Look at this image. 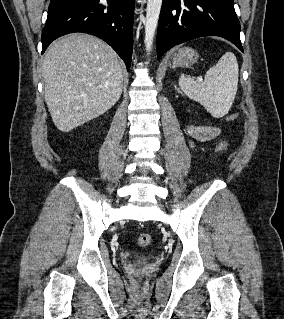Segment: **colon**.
<instances>
[{
	"instance_id": "obj_1",
	"label": "colon",
	"mask_w": 284,
	"mask_h": 319,
	"mask_svg": "<svg viewBox=\"0 0 284 319\" xmlns=\"http://www.w3.org/2000/svg\"><path fill=\"white\" fill-rule=\"evenodd\" d=\"M238 117L237 113H230L226 116L227 121H234ZM217 148L219 151H225L227 148V144L225 141H221L218 143ZM151 242V236L147 233H141L137 237V244L139 246H147Z\"/></svg>"
}]
</instances>
